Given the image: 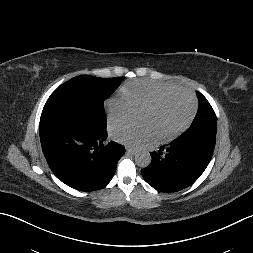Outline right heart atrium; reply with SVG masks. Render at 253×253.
<instances>
[{
	"label": "right heart atrium",
	"instance_id": "1",
	"mask_svg": "<svg viewBox=\"0 0 253 253\" xmlns=\"http://www.w3.org/2000/svg\"><path fill=\"white\" fill-rule=\"evenodd\" d=\"M104 107L109 125L124 123L131 112L129 103L122 95L108 98Z\"/></svg>",
	"mask_w": 253,
	"mask_h": 253
}]
</instances>
